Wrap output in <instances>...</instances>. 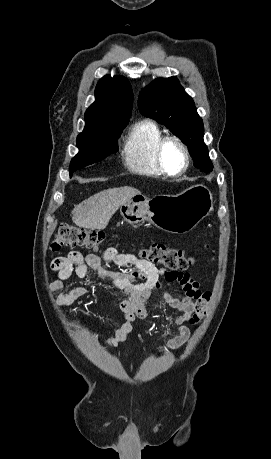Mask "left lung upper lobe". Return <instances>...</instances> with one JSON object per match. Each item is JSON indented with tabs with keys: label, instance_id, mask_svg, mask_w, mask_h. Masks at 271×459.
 Returning <instances> with one entry per match:
<instances>
[{
	"label": "left lung upper lobe",
	"instance_id": "left-lung-upper-lobe-1",
	"mask_svg": "<svg viewBox=\"0 0 271 459\" xmlns=\"http://www.w3.org/2000/svg\"><path fill=\"white\" fill-rule=\"evenodd\" d=\"M139 110L165 125L187 146L194 166L202 172L213 168L204 144V127L192 98L185 93L176 77L156 79L138 98Z\"/></svg>",
	"mask_w": 271,
	"mask_h": 459
}]
</instances>
